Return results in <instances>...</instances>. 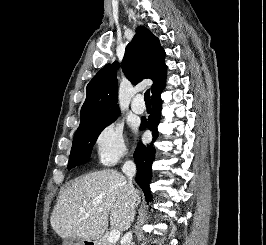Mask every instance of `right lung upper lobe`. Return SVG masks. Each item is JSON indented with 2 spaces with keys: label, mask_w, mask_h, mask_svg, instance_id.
Here are the masks:
<instances>
[{
  "label": "right lung upper lobe",
  "mask_w": 266,
  "mask_h": 245,
  "mask_svg": "<svg viewBox=\"0 0 266 245\" xmlns=\"http://www.w3.org/2000/svg\"><path fill=\"white\" fill-rule=\"evenodd\" d=\"M165 52L159 39L144 26H138L132 41L127 45L122 69L132 84L144 78L153 80L152 95L160 91L166 80ZM118 63L107 64L90 81L86 100L81 108L80 123L119 112L117 103Z\"/></svg>",
  "instance_id": "1"
}]
</instances>
